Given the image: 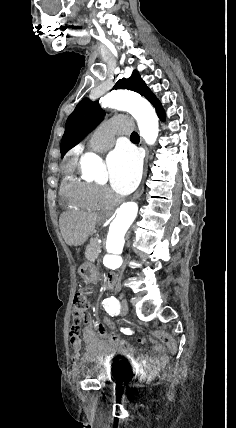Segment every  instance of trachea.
<instances>
[{
	"label": "trachea",
	"instance_id": "obj_1",
	"mask_svg": "<svg viewBox=\"0 0 236 428\" xmlns=\"http://www.w3.org/2000/svg\"><path fill=\"white\" fill-rule=\"evenodd\" d=\"M131 139H139V135L137 132H133L130 136Z\"/></svg>",
	"mask_w": 236,
	"mask_h": 428
}]
</instances>
